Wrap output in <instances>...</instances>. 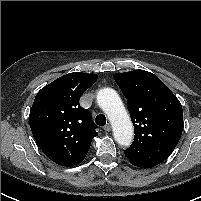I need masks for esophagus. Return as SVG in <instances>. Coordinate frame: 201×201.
I'll list each match as a JSON object with an SVG mask.
<instances>
[{"instance_id": "1", "label": "esophagus", "mask_w": 201, "mask_h": 201, "mask_svg": "<svg viewBox=\"0 0 201 201\" xmlns=\"http://www.w3.org/2000/svg\"><path fill=\"white\" fill-rule=\"evenodd\" d=\"M104 130H105L106 132L111 131V125H110V124L105 125V126H104Z\"/></svg>"}]
</instances>
